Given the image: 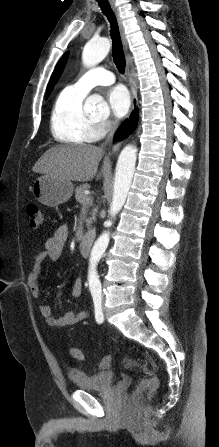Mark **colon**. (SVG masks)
<instances>
[{"mask_svg":"<svg viewBox=\"0 0 219 447\" xmlns=\"http://www.w3.org/2000/svg\"><path fill=\"white\" fill-rule=\"evenodd\" d=\"M27 214L29 218L30 228L36 229L42 224L43 215L38 204L29 203L27 205ZM70 354L77 361L84 360V353L79 348H71ZM113 360L114 356L103 357L100 360L99 365L103 369L110 368L112 366ZM120 361L124 367L135 369L143 373L145 376L140 381L139 385L131 396V400L133 403H139L143 401L145 398L151 396L156 391L159 385V381L158 378L150 370L128 357H121Z\"/></svg>","mask_w":219,"mask_h":447,"instance_id":"5ec220e1","label":"colon"}]
</instances>
